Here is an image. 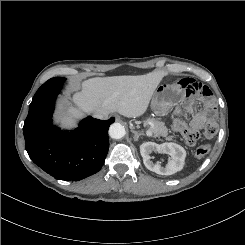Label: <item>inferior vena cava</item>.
Masks as SVG:
<instances>
[{
    "label": "inferior vena cava",
    "instance_id": "602c4592",
    "mask_svg": "<svg viewBox=\"0 0 245 245\" xmlns=\"http://www.w3.org/2000/svg\"><path fill=\"white\" fill-rule=\"evenodd\" d=\"M95 118L105 120L108 118V114L105 112H98L93 115Z\"/></svg>",
    "mask_w": 245,
    "mask_h": 245
}]
</instances>
